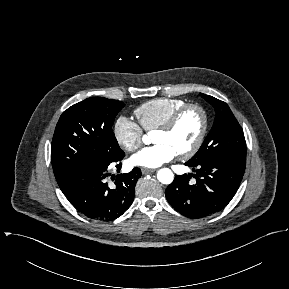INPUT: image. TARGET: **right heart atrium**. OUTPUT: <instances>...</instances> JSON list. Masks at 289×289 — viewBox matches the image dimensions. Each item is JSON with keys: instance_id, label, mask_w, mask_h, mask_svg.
Wrapping results in <instances>:
<instances>
[{"instance_id": "1", "label": "right heart atrium", "mask_w": 289, "mask_h": 289, "mask_svg": "<svg viewBox=\"0 0 289 289\" xmlns=\"http://www.w3.org/2000/svg\"><path fill=\"white\" fill-rule=\"evenodd\" d=\"M113 135L120 147L133 152L142 144V128L127 116H119L113 125Z\"/></svg>"}]
</instances>
